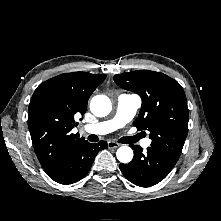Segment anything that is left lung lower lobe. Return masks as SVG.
<instances>
[{
  "mask_svg": "<svg viewBox=\"0 0 221 221\" xmlns=\"http://www.w3.org/2000/svg\"><path fill=\"white\" fill-rule=\"evenodd\" d=\"M131 147L134 149L133 160L129 164H120V170L130 182L140 187H150L162 181L179 159V156L160 148L151 146L143 154L140 146Z\"/></svg>",
  "mask_w": 221,
  "mask_h": 221,
  "instance_id": "1",
  "label": "left lung lower lobe"
}]
</instances>
